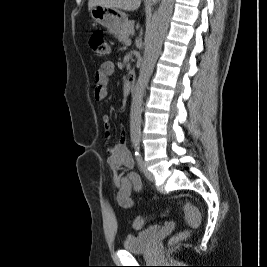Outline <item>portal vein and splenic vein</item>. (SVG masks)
<instances>
[{
    "mask_svg": "<svg viewBox=\"0 0 267 267\" xmlns=\"http://www.w3.org/2000/svg\"><path fill=\"white\" fill-rule=\"evenodd\" d=\"M125 44H126V45H130V44H131V40H130V39H127V40L125 41Z\"/></svg>",
    "mask_w": 267,
    "mask_h": 267,
    "instance_id": "obj_1",
    "label": "portal vein and splenic vein"
}]
</instances>
